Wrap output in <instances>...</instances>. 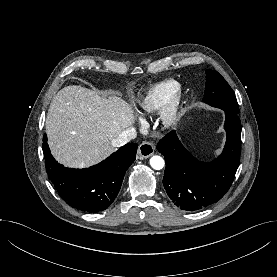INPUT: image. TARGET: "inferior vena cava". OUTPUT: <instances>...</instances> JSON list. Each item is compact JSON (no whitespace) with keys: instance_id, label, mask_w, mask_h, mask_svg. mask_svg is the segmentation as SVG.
<instances>
[{"instance_id":"obj_1","label":"inferior vena cava","mask_w":277,"mask_h":277,"mask_svg":"<svg viewBox=\"0 0 277 277\" xmlns=\"http://www.w3.org/2000/svg\"><path fill=\"white\" fill-rule=\"evenodd\" d=\"M136 137V130L133 127L125 129L119 136L115 139L114 144L117 147L123 146L132 139Z\"/></svg>"}]
</instances>
